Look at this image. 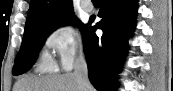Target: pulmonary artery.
I'll return each mask as SVG.
<instances>
[{
	"label": "pulmonary artery",
	"instance_id": "pulmonary-artery-1",
	"mask_svg": "<svg viewBox=\"0 0 173 91\" xmlns=\"http://www.w3.org/2000/svg\"><path fill=\"white\" fill-rule=\"evenodd\" d=\"M82 8L84 11L86 12H91L93 11V4L91 1L87 0V1H83L82 2Z\"/></svg>",
	"mask_w": 173,
	"mask_h": 91
}]
</instances>
